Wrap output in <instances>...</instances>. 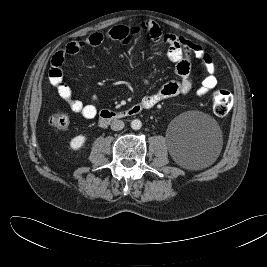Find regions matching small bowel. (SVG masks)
<instances>
[{"instance_id":"small-bowel-1","label":"small bowel","mask_w":267,"mask_h":267,"mask_svg":"<svg viewBox=\"0 0 267 267\" xmlns=\"http://www.w3.org/2000/svg\"><path fill=\"white\" fill-rule=\"evenodd\" d=\"M141 33H146L152 40L167 46V57L175 65V72L178 76L177 80L166 83L159 91L142 99L141 103L146 109H150L166 99L185 95L192 89L191 56H194L200 62L206 73L201 86L197 90V96L203 97L216 87L215 65L210 55L200 45L163 31L153 21L142 22L136 26L117 25L105 33L96 32L83 40L70 42L52 57L49 82L55 88L59 97L68 104L72 112L86 119H92L97 115L98 109L95 104H85L73 97L71 87L63 78L62 65L65 59L83 48L100 45L105 40L127 42L131 37Z\"/></svg>"}]
</instances>
